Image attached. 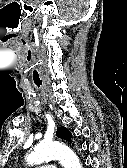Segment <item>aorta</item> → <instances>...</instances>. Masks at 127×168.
<instances>
[{"instance_id": "obj_1", "label": "aorta", "mask_w": 127, "mask_h": 168, "mask_svg": "<svg viewBox=\"0 0 127 168\" xmlns=\"http://www.w3.org/2000/svg\"><path fill=\"white\" fill-rule=\"evenodd\" d=\"M49 160H58L64 168H82L73 150L59 142L40 143L27 157L30 165L41 164Z\"/></svg>"}]
</instances>
